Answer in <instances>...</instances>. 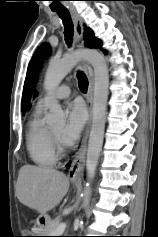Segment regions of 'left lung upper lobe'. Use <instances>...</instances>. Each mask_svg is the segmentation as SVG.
<instances>
[{
  "label": "left lung upper lobe",
  "instance_id": "left-lung-upper-lobe-1",
  "mask_svg": "<svg viewBox=\"0 0 158 237\" xmlns=\"http://www.w3.org/2000/svg\"><path fill=\"white\" fill-rule=\"evenodd\" d=\"M84 37H85V46L89 48L101 47V41L95 38L94 33L90 28L85 29ZM48 47H49L48 44H43L42 46H40L35 52L33 58L31 59L29 63L27 75H26V79L24 83V88H23V96H22V112L23 113L25 111L26 105L31 96V92L35 83L36 72H37L39 63L41 59L45 55H47Z\"/></svg>",
  "mask_w": 158,
  "mask_h": 237
}]
</instances>
